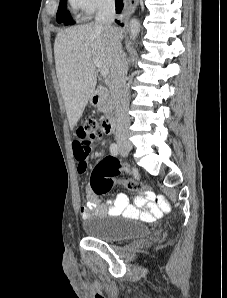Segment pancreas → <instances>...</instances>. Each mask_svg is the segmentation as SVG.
I'll use <instances>...</instances> for the list:
<instances>
[{
	"label": "pancreas",
	"instance_id": "cf45deb5",
	"mask_svg": "<svg viewBox=\"0 0 227 298\" xmlns=\"http://www.w3.org/2000/svg\"><path fill=\"white\" fill-rule=\"evenodd\" d=\"M108 87H100V104L98 105V111L103 112L104 114H111L115 108V100L113 93L110 87V84H107Z\"/></svg>",
	"mask_w": 227,
	"mask_h": 298
}]
</instances>
